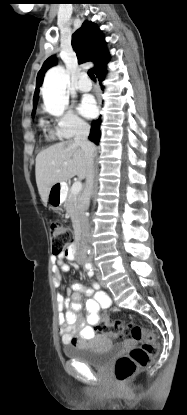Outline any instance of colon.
<instances>
[{"instance_id": "colon-1", "label": "colon", "mask_w": 187, "mask_h": 415, "mask_svg": "<svg viewBox=\"0 0 187 415\" xmlns=\"http://www.w3.org/2000/svg\"><path fill=\"white\" fill-rule=\"evenodd\" d=\"M52 238L51 249L54 255L67 253L74 243L73 232L61 222H53L50 225ZM95 331L101 334L128 336L140 342L127 355L119 357L114 365L116 379L123 383L128 381L137 370L149 364L151 359L159 353L160 346L156 341L152 330L136 322L125 324L115 317L100 319L95 325Z\"/></svg>"}]
</instances>
